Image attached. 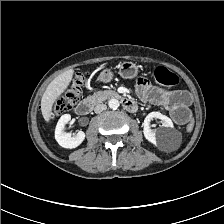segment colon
Returning <instances> with one entry per match:
<instances>
[{
  "label": "colon",
  "mask_w": 224,
  "mask_h": 224,
  "mask_svg": "<svg viewBox=\"0 0 224 224\" xmlns=\"http://www.w3.org/2000/svg\"><path fill=\"white\" fill-rule=\"evenodd\" d=\"M155 80L164 86H175L179 82L178 76L168 70L163 66H159L154 71ZM84 83V76L79 75L76 76L72 84L68 87V89L54 102L52 107V115H59L68 110H70L78 101L82 86ZM179 118H188L189 112L184 110ZM193 128V124L191 122L188 123L186 129L191 131Z\"/></svg>",
  "instance_id": "colon-1"
}]
</instances>
